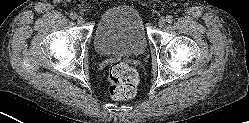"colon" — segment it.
I'll use <instances>...</instances> for the list:
<instances>
[{
  "label": "colon",
  "mask_w": 249,
  "mask_h": 123,
  "mask_svg": "<svg viewBox=\"0 0 249 123\" xmlns=\"http://www.w3.org/2000/svg\"><path fill=\"white\" fill-rule=\"evenodd\" d=\"M139 82L137 72L126 62L116 61L108 70V90L117 100H127L136 93Z\"/></svg>",
  "instance_id": "1"
}]
</instances>
